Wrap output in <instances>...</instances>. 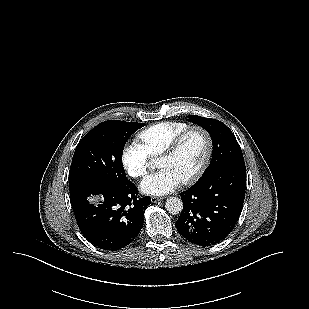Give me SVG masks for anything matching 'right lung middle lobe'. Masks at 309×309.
Returning a JSON list of instances; mask_svg holds the SVG:
<instances>
[{"instance_id": "dd1d6c3e", "label": "right lung middle lobe", "mask_w": 309, "mask_h": 309, "mask_svg": "<svg viewBox=\"0 0 309 309\" xmlns=\"http://www.w3.org/2000/svg\"><path fill=\"white\" fill-rule=\"evenodd\" d=\"M144 123L108 120L89 131L73 155L69 185L84 180H102L122 186L127 179L122 153L128 138Z\"/></svg>"}]
</instances>
